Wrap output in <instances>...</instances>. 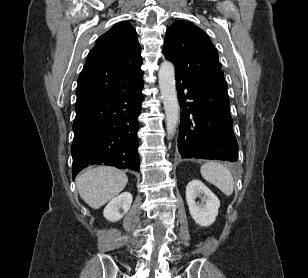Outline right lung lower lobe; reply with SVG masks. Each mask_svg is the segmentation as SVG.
Masks as SVG:
<instances>
[{"mask_svg": "<svg viewBox=\"0 0 308 278\" xmlns=\"http://www.w3.org/2000/svg\"><path fill=\"white\" fill-rule=\"evenodd\" d=\"M143 79L124 92L76 103L73 178L89 164L139 169L137 152Z\"/></svg>", "mask_w": 308, "mask_h": 278, "instance_id": "1", "label": "right lung lower lobe"}]
</instances>
